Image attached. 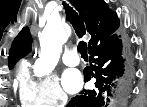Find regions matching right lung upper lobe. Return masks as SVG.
<instances>
[{
	"instance_id": "1",
	"label": "right lung upper lobe",
	"mask_w": 147,
	"mask_h": 107,
	"mask_svg": "<svg viewBox=\"0 0 147 107\" xmlns=\"http://www.w3.org/2000/svg\"><path fill=\"white\" fill-rule=\"evenodd\" d=\"M79 12L80 18L85 20L87 31L91 35L89 48L98 45L113 35L118 29L120 21L117 14L110 10L104 1L100 0H70ZM32 37L28 27H24L14 39L9 52V67L25 57L31 50Z\"/></svg>"
}]
</instances>
